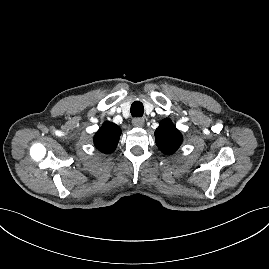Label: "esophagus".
I'll list each match as a JSON object with an SVG mask.
<instances>
[{
  "label": "esophagus",
  "mask_w": 269,
  "mask_h": 269,
  "mask_svg": "<svg viewBox=\"0 0 269 269\" xmlns=\"http://www.w3.org/2000/svg\"><path fill=\"white\" fill-rule=\"evenodd\" d=\"M145 123L144 118H134L132 124L134 127H143Z\"/></svg>",
  "instance_id": "obj_1"
}]
</instances>
